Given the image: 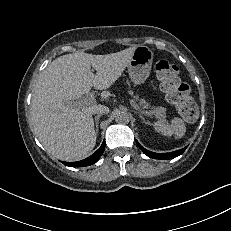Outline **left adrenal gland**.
<instances>
[{"instance_id":"a2214340","label":"left adrenal gland","mask_w":231,"mask_h":231,"mask_svg":"<svg viewBox=\"0 0 231 231\" xmlns=\"http://www.w3.org/2000/svg\"><path fill=\"white\" fill-rule=\"evenodd\" d=\"M139 117L143 120V122L145 124H148V122L145 120V118L143 117L142 113L139 112Z\"/></svg>"}]
</instances>
